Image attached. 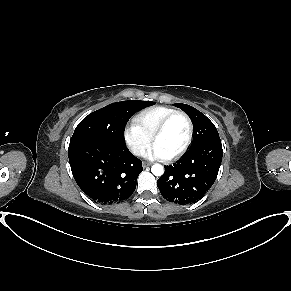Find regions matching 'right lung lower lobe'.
<instances>
[{
	"label": "right lung lower lobe",
	"instance_id": "1",
	"mask_svg": "<svg viewBox=\"0 0 291 291\" xmlns=\"http://www.w3.org/2000/svg\"><path fill=\"white\" fill-rule=\"evenodd\" d=\"M68 157L78 186L93 201L114 204L135 191L142 162L126 145L81 141L69 145Z\"/></svg>",
	"mask_w": 291,
	"mask_h": 291
}]
</instances>
